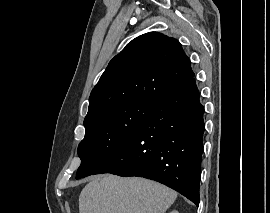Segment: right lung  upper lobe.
Returning a JSON list of instances; mask_svg holds the SVG:
<instances>
[{"mask_svg":"<svg viewBox=\"0 0 270 213\" xmlns=\"http://www.w3.org/2000/svg\"><path fill=\"white\" fill-rule=\"evenodd\" d=\"M194 75L176 39L158 32L138 36L109 62L91 92L85 121L135 100L157 104Z\"/></svg>","mask_w":270,"mask_h":213,"instance_id":"right-lung-upper-lobe-1","label":"right lung upper lobe"}]
</instances>
